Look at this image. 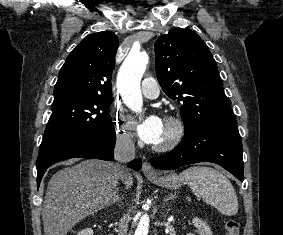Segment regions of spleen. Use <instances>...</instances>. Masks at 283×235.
<instances>
[{"mask_svg": "<svg viewBox=\"0 0 283 235\" xmlns=\"http://www.w3.org/2000/svg\"><path fill=\"white\" fill-rule=\"evenodd\" d=\"M188 184L194 195L215 207L221 214L233 216L238 212V199L230 181L219 171L202 166H193L178 176Z\"/></svg>", "mask_w": 283, "mask_h": 235, "instance_id": "spleen-1", "label": "spleen"}]
</instances>
